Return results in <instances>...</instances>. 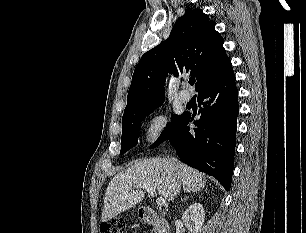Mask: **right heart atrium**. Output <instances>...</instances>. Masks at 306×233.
Segmentation results:
<instances>
[{
	"mask_svg": "<svg viewBox=\"0 0 306 233\" xmlns=\"http://www.w3.org/2000/svg\"><path fill=\"white\" fill-rule=\"evenodd\" d=\"M169 128V117L165 113L154 114L147 122L145 129V140L154 145L160 142Z\"/></svg>",
	"mask_w": 306,
	"mask_h": 233,
	"instance_id": "d8ad5b80",
	"label": "right heart atrium"
}]
</instances>
